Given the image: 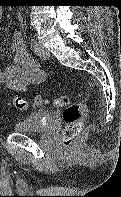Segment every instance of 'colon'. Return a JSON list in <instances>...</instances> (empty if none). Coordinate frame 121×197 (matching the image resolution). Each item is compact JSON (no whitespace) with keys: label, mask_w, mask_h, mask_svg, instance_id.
<instances>
[{"label":"colon","mask_w":121,"mask_h":197,"mask_svg":"<svg viewBox=\"0 0 121 197\" xmlns=\"http://www.w3.org/2000/svg\"><path fill=\"white\" fill-rule=\"evenodd\" d=\"M13 103L19 110H28L31 107L37 108L42 104L48 103L54 107H64L62 116L65 127L62 134V139L66 149H70L73 146L82 130L86 105L83 103H71L70 96H61L52 101H48L41 96H36L32 104L23 98L16 97L14 98Z\"/></svg>","instance_id":"1"}]
</instances>
